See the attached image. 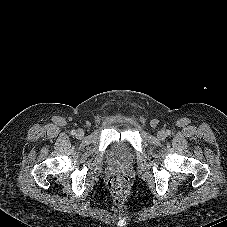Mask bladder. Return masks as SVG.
<instances>
[{
    "instance_id": "1",
    "label": "bladder",
    "mask_w": 227,
    "mask_h": 227,
    "mask_svg": "<svg viewBox=\"0 0 227 227\" xmlns=\"http://www.w3.org/2000/svg\"><path fill=\"white\" fill-rule=\"evenodd\" d=\"M111 157L119 162H127L132 157L131 149L124 142L116 143L111 148Z\"/></svg>"
}]
</instances>
